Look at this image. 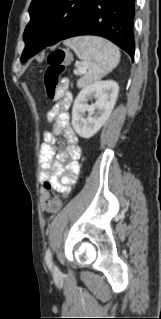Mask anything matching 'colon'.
Instances as JSON below:
<instances>
[{"instance_id": "1", "label": "colon", "mask_w": 161, "mask_h": 319, "mask_svg": "<svg viewBox=\"0 0 161 319\" xmlns=\"http://www.w3.org/2000/svg\"><path fill=\"white\" fill-rule=\"evenodd\" d=\"M68 59V53L59 49L52 52L47 61V68L42 75V85L47 97L52 101L57 98V87ZM43 187L49 191L52 184L50 181H44ZM46 208L49 212L56 213L61 209V201L57 198L51 199L47 202Z\"/></svg>"}]
</instances>
